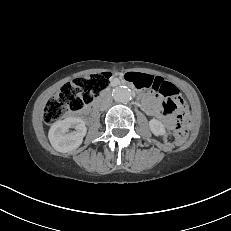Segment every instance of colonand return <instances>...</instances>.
<instances>
[{"mask_svg": "<svg viewBox=\"0 0 231 231\" xmlns=\"http://www.w3.org/2000/svg\"><path fill=\"white\" fill-rule=\"evenodd\" d=\"M111 76L110 72H100L76 78L61 86L45 107V122L52 124L67 113L77 112L91 104L107 89ZM157 93L170 99L176 97L178 92L174 86L163 84ZM173 106L174 103L171 102L169 109H172ZM187 125L188 117L185 109H180L177 123L173 130L165 135V141L168 144L183 142L187 137Z\"/></svg>", "mask_w": 231, "mask_h": 231, "instance_id": "colon-1", "label": "colon"}]
</instances>
